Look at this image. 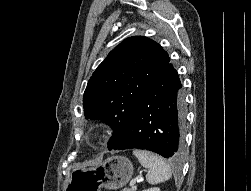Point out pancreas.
I'll list each match as a JSON object with an SVG mask.
<instances>
[{"instance_id": "cf45deb5", "label": "pancreas", "mask_w": 251, "mask_h": 191, "mask_svg": "<svg viewBox=\"0 0 251 191\" xmlns=\"http://www.w3.org/2000/svg\"><path fill=\"white\" fill-rule=\"evenodd\" d=\"M123 191H136V187H124Z\"/></svg>"}]
</instances>
